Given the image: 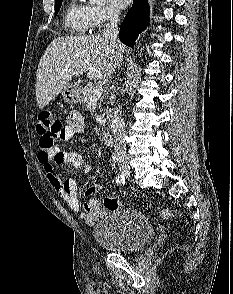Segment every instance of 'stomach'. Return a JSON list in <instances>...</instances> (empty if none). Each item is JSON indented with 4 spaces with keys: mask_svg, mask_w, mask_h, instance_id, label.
<instances>
[{
    "mask_svg": "<svg viewBox=\"0 0 233 294\" xmlns=\"http://www.w3.org/2000/svg\"><path fill=\"white\" fill-rule=\"evenodd\" d=\"M81 86L78 83H69L62 91V97L66 103H82Z\"/></svg>",
    "mask_w": 233,
    "mask_h": 294,
    "instance_id": "obj_1",
    "label": "stomach"
}]
</instances>
